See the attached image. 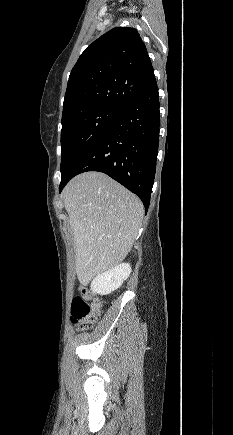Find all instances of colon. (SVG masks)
Instances as JSON below:
<instances>
[{
    "instance_id": "1",
    "label": "colon",
    "mask_w": 233,
    "mask_h": 435,
    "mask_svg": "<svg viewBox=\"0 0 233 435\" xmlns=\"http://www.w3.org/2000/svg\"><path fill=\"white\" fill-rule=\"evenodd\" d=\"M87 294L88 289L83 286L80 293L75 295L72 300L71 321L78 330L91 329L101 314L102 303L100 301L87 302Z\"/></svg>"
}]
</instances>
